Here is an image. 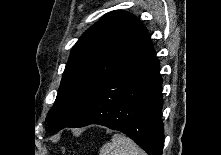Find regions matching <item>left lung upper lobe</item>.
<instances>
[{
	"label": "left lung upper lobe",
	"mask_w": 221,
	"mask_h": 155,
	"mask_svg": "<svg viewBox=\"0 0 221 155\" xmlns=\"http://www.w3.org/2000/svg\"><path fill=\"white\" fill-rule=\"evenodd\" d=\"M147 29L123 11L105 14L74 45L55 103L46 121L49 130L65 128L100 85L147 42Z\"/></svg>",
	"instance_id": "1"
}]
</instances>
